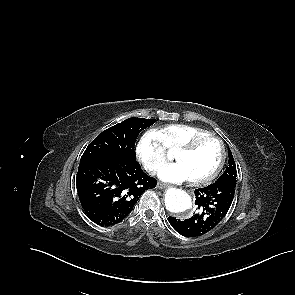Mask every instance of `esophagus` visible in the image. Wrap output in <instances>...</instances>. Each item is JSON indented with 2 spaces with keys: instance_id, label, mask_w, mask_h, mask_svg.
I'll return each instance as SVG.
<instances>
[{
  "instance_id": "1",
  "label": "esophagus",
  "mask_w": 295,
  "mask_h": 295,
  "mask_svg": "<svg viewBox=\"0 0 295 295\" xmlns=\"http://www.w3.org/2000/svg\"><path fill=\"white\" fill-rule=\"evenodd\" d=\"M157 188H159V189H164V188H166V185L163 184V183H158V184H157Z\"/></svg>"
}]
</instances>
